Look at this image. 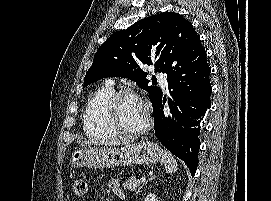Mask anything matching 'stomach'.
Returning a JSON list of instances; mask_svg holds the SVG:
<instances>
[{"instance_id": "stomach-1", "label": "stomach", "mask_w": 271, "mask_h": 201, "mask_svg": "<svg viewBox=\"0 0 271 201\" xmlns=\"http://www.w3.org/2000/svg\"><path fill=\"white\" fill-rule=\"evenodd\" d=\"M162 149L153 142L140 141L125 147H85L72 152V170L82 167L113 168L133 165H152L161 161Z\"/></svg>"}]
</instances>
